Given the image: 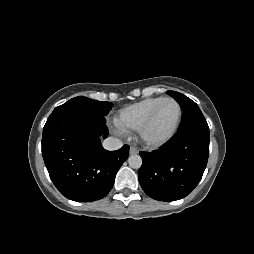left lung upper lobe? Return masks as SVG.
<instances>
[{"instance_id":"1","label":"left lung upper lobe","mask_w":254,"mask_h":254,"mask_svg":"<svg viewBox=\"0 0 254 254\" xmlns=\"http://www.w3.org/2000/svg\"><path fill=\"white\" fill-rule=\"evenodd\" d=\"M167 94L176 99L182 107L183 117L178 130L194 125H208L198 105L185 95L167 91Z\"/></svg>"}]
</instances>
